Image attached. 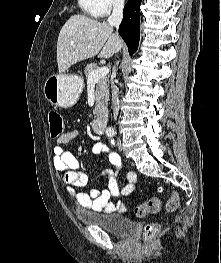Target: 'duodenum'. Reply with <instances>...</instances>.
Masks as SVG:
<instances>
[{"label": "duodenum", "mask_w": 221, "mask_h": 263, "mask_svg": "<svg viewBox=\"0 0 221 263\" xmlns=\"http://www.w3.org/2000/svg\"><path fill=\"white\" fill-rule=\"evenodd\" d=\"M106 122H107L106 116H101V117L94 119L92 122V128L94 132L98 134L104 133L105 128H106Z\"/></svg>", "instance_id": "410a0bca"}]
</instances>
